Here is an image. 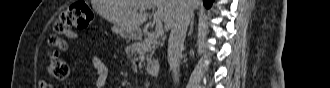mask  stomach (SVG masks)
Segmentation results:
<instances>
[{"label":"stomach","instance_id":"obj_1","mask_svg":"<svg viewBox=\"0 0 330 88\" xmlns=\"http://www.w3.org/2000/svg\"><path fill=\"white\" fill-rule=\"evenodd\" d=\"M123 37L134 38V36L131 33L124 34Z\"/></svg>","mask_w":330,"mask_h":88}]
</instances>
